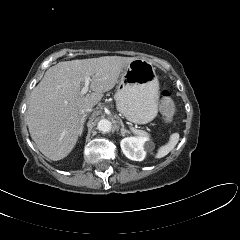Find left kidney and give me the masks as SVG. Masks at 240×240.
<instances>
[{"label":"left kidney","mask_w":240,"mask_h":240,"mask_svg":"<svg viewBox=\"0 0 240 240\" xmlns=\"http://www.w3.org/2000/svg\"><path fill=\"white\" fill-rule=\"evenodd\" d=\"M146 137H126L121 140L120 146L124 155L134 161H142L146 156Z\"/></svg>","instance_id":"left-kidney-1"}]
</instances>
